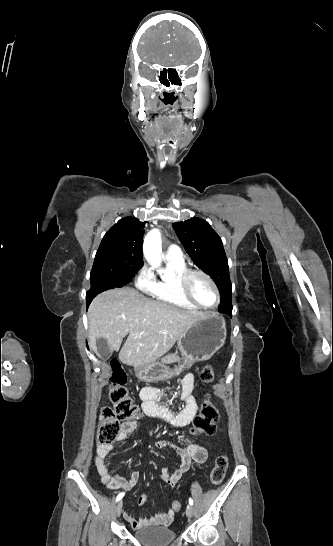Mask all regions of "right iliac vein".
Returning a JSON list of instances; mask_svg holds the SVG:
<instances>
[{"mask_svg": "<svg viewBox=\"0 0 333 546\" xmlns=\"http://www.w3.org/2000/svg\"><path fill=\"white\" fill-rule=\"evenodd\" d=\"M122 506H123V501H119V503L117 504L116 506V515L117 516H120L121 512H122Z\"/></svg>", "mask_w": 333, "mask_h": 546, "instance_id": "right-iliac-vein-1", "label": "right iliac vein"}]
</instances>
